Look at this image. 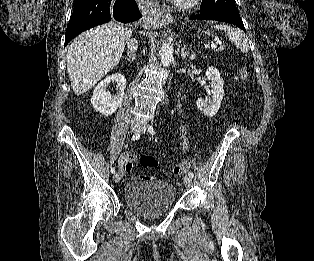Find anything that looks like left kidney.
Instances as JSON below:
<instances>
[{"label":"left kidney","instance_id":"left-kidney-1","mask_svg":"<svg viewBox=\"0 0 314 261\" xmlns=\"http://www.w3.org/2000/svg\"><path fill=\"white\" fill-rule=\"evenodd\" d=\"M208 80L211 81L212 87V100L208 101L202 98H198L196 101L197 108L208 117H213L217 114L221 106V101L224 97L223 85L224 81L220 76L218 69L209 67L206 71Z\"/></svg>","mask_w":314,"mask_h":261}]
</instances>
